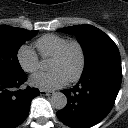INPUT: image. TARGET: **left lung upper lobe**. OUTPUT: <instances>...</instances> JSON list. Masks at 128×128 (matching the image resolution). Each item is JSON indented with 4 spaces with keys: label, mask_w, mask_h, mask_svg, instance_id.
<instances>
[{
    "label": "left lung upper lobe",
    "mask_w": 128,
    "mask_h": 128,
    "mask_svg": "<svg viewBox=\"0 0 128 128\" xmlns=\"http://www.w3.org/2000/svg\"><path fill=\"white\" fill-rule=\"evenodd\" d=\"M59 31L75 35L80 42L85 56V67L82 74L103 61H121L118 47L113 40L92 25L70 26Z\"/></svg>",
    "instance_id": "left-lung-upper-lobe-1"
}]
</instances>
